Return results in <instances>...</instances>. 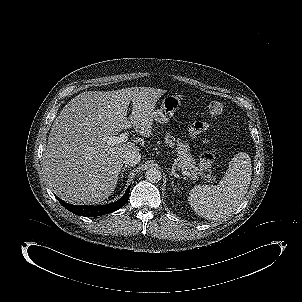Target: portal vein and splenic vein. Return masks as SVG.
Listing matches in <instances>:
<instances>
[{
    "mask_svg": "<svg viewBox=\"0 0 302 302\" xmlns=\"http://www.w3.org/2000/svg\"><path fill=\"white\" fill-rule=\"evenodd\" d=\"M127 139H128V133L124 132V133H121L119 136L107 137L106 142L108 145H115V144L125 142V141H127ZM182 174L187 177H191V174L188 171L182 170Z\"/></svg>",
    "mask_w": 302,
    "mask_h": 302,
    "instance_id": "18ae733b",
    "label": "portal vein and splenic vein"
}]
</instances>
